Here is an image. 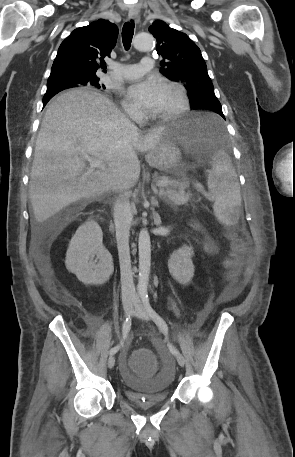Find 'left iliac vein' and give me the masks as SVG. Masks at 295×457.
<instances>
[{
    "instance_id": "left-iliac-vein-1",
    "label": "left iliac vein",
    "mask_w": 295,
    "mask_h": 457,
    "mask_svg": "<svg viewBox=\"0 0 295 457\" xmlns=\"http://www.w3.org/2000/svg\"><path fill=\"white\" fill-rule=\"evenodd\" d=\"M134 305H135L134 315L141 320L149 321L150 315L148 314L147 310L145 309V307L141 304V302L138 299L135 300ZM176 359L180 366L183 367L185 365V359L180 353L176 355Z\"/></svg>"
}]
</instances>
